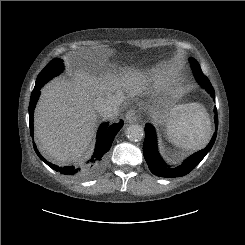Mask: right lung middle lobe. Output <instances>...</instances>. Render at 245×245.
<instances>
[{"mask_svg": "<svg viewBox=\"0 0 245 245\" xmlns=\"http://www.w3.org/2000/svg\"><path fill=\"white\" fill-rule=\"evenodd\" d=\"M63 70V62L61 59L55 58L52 60L39 74L36 84L40 81L47 82Z\"/></svg>", "mask_w": 245, "mask_h": 245, "instance_id": "1", "label": "right lung middle lobe"}]
</instances>
